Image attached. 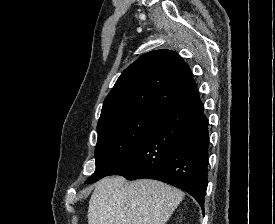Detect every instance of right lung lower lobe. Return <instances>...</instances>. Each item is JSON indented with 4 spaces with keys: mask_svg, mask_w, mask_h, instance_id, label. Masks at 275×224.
<instances>
[{
    "mask_svg": "<svg viewBox=\"0 0 275 224\" xmlns=\"http://www.w3.org/2000/svg\"><path fill=\"white\" fill-rule=\"evenodd\" d=\"M208 147V120L195 89L168 108L145 139L109 175L171 184L193 196L204 210Z\"/></svg>",
    "mask_w": 275,
    "mask_h": 224,
    "instance_id": "1",
    "label": "right lung lower lobe"
}]
</instances>
